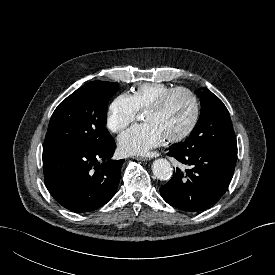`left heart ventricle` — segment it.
<instances>
[{
  "instance_id": "obj_1",
  "label": "left heart ventricle",
  "mask_w": 275,
  "mask_h": 275,
  "mask_svg": "<svg viewBox=\"0 0 275 275\" xmlns=\"http://www.w3.org/2000/svg\"><path fill=\"white\" fill-rule=\"evenodd\" d=\"M193 113L190 97L183 92L171 96L166 105L158 111H146L144 119L155 124L163 136L182 132L189 124Z\"/></svg>"
}]
</instances>
